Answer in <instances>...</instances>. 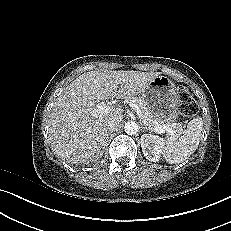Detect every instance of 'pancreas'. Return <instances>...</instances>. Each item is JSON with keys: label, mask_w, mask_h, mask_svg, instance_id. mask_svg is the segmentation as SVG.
Listing matches in <instances>:
<instances>
[{"label": "pancreas", "mask_w": 231, "mask_h": 231, "mask_svg": "<svg viewBox=\"0 0 231 231\" xmlns=\"http://www.w3.org/2000/svg\"><path fill=\"white\" fill-rule=\"evenodd\" d=\"M126 101H134V103L140 108L141 110V121L142 123L151 131H154L155 126L157 125H162L164 123L167 124L166 121H164L161 117L152 114L147 107L144 105V103L136 98H130L127 99ZM176 132L175 134L180 133V128L176 127Z\"/></svg>", "instance_id": "cf45deb5"}]
</instances>
